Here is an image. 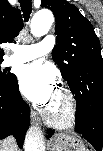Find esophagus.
<instances>
[{
	"instance_id": "obj_1",
	"label": "esophagus",
	"mask_w": 103,
	"mask_h": 151,
	"mask_svg": "<svg viewBox=\"0 0 103 151\" xmlns=\"http://www.w3.org/2000/svg\"><path fill=\"white\" fill-rule=\"evenodd\" d=\"M31 119L32 123L37 126L38 119L36 117V112L34 110H31Z\"/></svg>"
}]
</instances>
